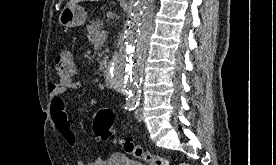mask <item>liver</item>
Segmentation results:
<instances>
[{"label": "liver", "mask_w": 276, "mask_h": 165, "mask_svg": "<svg viewBox=\"0 0 276 165\" xmlns=\"http://www.w3.org/2000/svg\"><path fill=\"white\" fill-rule=\"evenodd\" d=\"M83 1H99V0H70L68 3H67V6H74L76 5L77 3L79 2H83Z\"/></svg>", "instance_id": "obj_1"}]
</instances>
